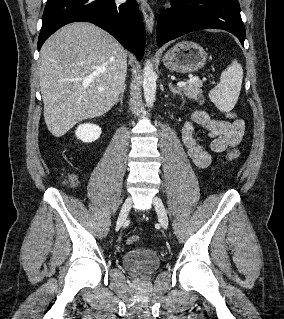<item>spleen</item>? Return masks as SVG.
<instances>
[{"label":"spleen","mask_w":284,"mask_h":319,"mask_svg":"<svg viewBox=\"0 0 284 319\" xmlns=\"http://www.w3.org/2000/svg\"><path fill=\"white\" fill-rule=\"evenodd\" d=\"M243 79V69L236 59L221 73L220 83L210 90L211 102L221 112L231 111L240 94Z\"/></svg>","instance_id":"1"}]
</instances>
